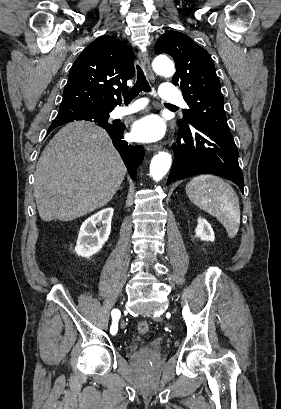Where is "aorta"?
<instances>
[{
	"label": "aorta",
	"mask_w": 281,
	"mask_h": 409,
	"mask_svg": "<svg viewBox=\"0 0 281 409\" xmlns=\"http://www.w3.org/2000/svg\"><path fill=\"white\" fill-rule=\"evenodd\" d=\"M154 71L165 77H170L175 72L173 61L168 57H156L152 63ZM172 162L171 155L168 152H159L156 154L150 164V176L155 181H160L170 169Z\"/></svg>",
	"instance_id": "762f6f07"
}]
</instances>
